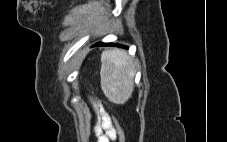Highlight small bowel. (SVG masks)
<instances>
[{
	"instance_id": "1",
	"label": "small bowel",
	"mask_w": 227,
	"mask_h": 142,
	"mask_svg": "<svg viewBox=\"0 0 227 142\" xmlns=\"http://www.w3.org/2000/svg\"><path fill=\"white\" fill-rule=\"evenodd\" d=\"M96 110V121L93 127L97 142L113 141V124L109 114L104 110L102 105H94Z\"/></svg>"
}]
</instances>
